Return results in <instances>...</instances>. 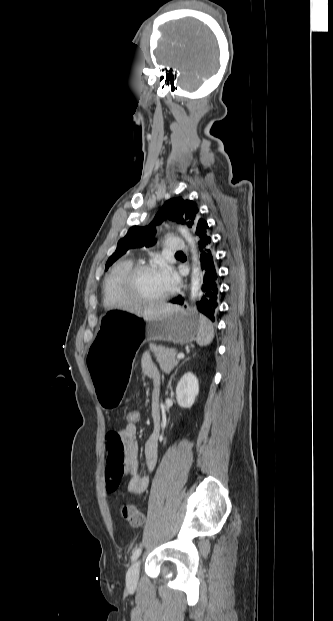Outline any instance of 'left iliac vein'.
I'll return each instance as SVG.
<instances>
[{
    "label": "left iliac vein",
    "mask_w": 333,
    "mask_h": 621,
    "mask_svg": "<svg viewBox=\"0 0 333 621\" xmlns=\"http://www.w3.org/2000/svg\"><path fill=\"white\" fill-rule=\"evenodd\" d=\"M139 568H140V560H136L127 575V581L129 583V585H136L137 580H138V575H139Z\"/></svg>",
    "instance_id": "obj_1"
}]
</instances>
